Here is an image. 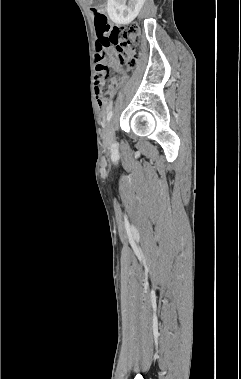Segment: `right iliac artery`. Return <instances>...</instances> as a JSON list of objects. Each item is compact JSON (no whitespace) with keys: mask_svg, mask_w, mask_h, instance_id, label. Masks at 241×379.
<instances>
[{"mask_svg":"<svg viewBox=\"0 0 241 379\" xmlns=\"http://www.w3.org/2000/svg\"><path fill=\"white\" fill-rule=\"evenodd\" d=\"M112 115H113V112H112V111H109V113L107 114V121H108V122L111 120Z\"/></svg>","mask_w":241,"mask_h":379,"instance_id":"1","label":"right iliac artery"}]
</instances>
